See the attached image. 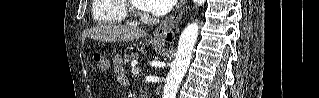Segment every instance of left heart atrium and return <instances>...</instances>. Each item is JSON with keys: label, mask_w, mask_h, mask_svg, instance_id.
<instances>
[{"label": "left heart atrium", "mask_w": 319, "mask_h": 98, "mask_svg": "<svg viewBox=\"0 0 319 98\" xmlns=\"http://www.w3.org/2000/svg\"><path fill=\"white\" fill-rule=\"evenodd\" d=\"M141 3L143 7L152 14L163 15L173 8L175 0H142Z\"/></svg>", "instance_id": "left-heart-atrium-1"}]
</instances>
